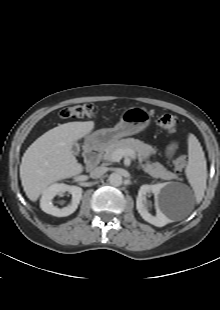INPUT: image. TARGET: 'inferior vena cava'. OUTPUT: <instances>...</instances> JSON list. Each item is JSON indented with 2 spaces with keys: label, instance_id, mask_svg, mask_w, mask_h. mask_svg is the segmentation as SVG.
Returning <instances> with one entry per match:
<instances>
[{
  "label": "inferior vena cava",
  "instance_id": "obj_1",
  "mask_svg": "<svg viewBox=\"0 0 220 310\" xmlns=\"http://www.w3.org/2000/svg\"><path fill=\"white\" fill-rule=\"evenodd\" d=\"M107 171V168L106 167H96L95 169H93L91 172H90V177L91 178H99L101 177L103 174H105Z\"/></svg>",
  "mask_w": 220,
  "mask_h": 310
}]
</instances>
